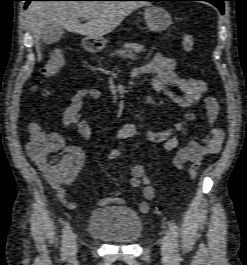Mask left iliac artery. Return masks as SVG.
I'll return each mask as SVG.
<instances>
[{"instance_id":"44dca946","label":"left iliac artery","mask_w":247,"mask_h":265,"mask_svg":"<svg viewBox=\"0 0 247 265\" xmlns=\"http://www.w3.org/2000/svg\"><path fill=\"white\" fill-rule=\"evenodd\" d=\"M168 225H169V228L171 230L172 237H173L172 246H171L172 253L176 257V256H178V251H179V248H178L179 230H178L177 225L174 222L170 221V222H168Z\"/></svg>"}]
</instances>
